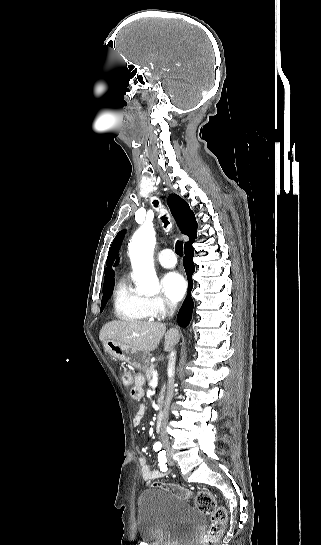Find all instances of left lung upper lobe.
<instances>
[{
	"label": "left lung upper lobe",
	"instance_id": "left-lung-upper-lobe-1",
	"mask_svg": "<svg viewBox=\"0 0 321 545\" xmlns=\"http://www.w3.org/2000/svg\"><path fill=\"white\" fill-rule=\"evenodd\" d=\"M118 261H119V258L117 259V262H116V264L118 263Z\"/></svg>",
	"mask_w": 321,
	"mask_h": 545
}]
</instances>
